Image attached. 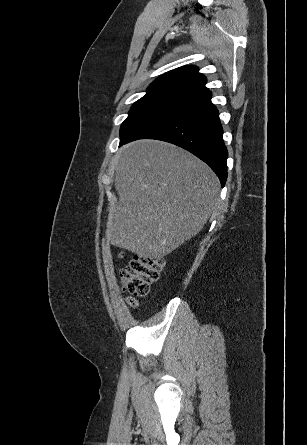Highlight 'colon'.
<instances>
[{
  "instance_id": "obj_1",
  "label": "colon",
  "mask_w": 307,
  "mask_h": 445,
  "mask_svg": "<svg viewBox=\"0 0 307 445\" xmlns=\"http://www.w3.org/2000/svg\"><path fill=\"white\" fill-rule=\"evenodd\" d=\"M164 261L159 258L135 256L120 271L122 286L125 292L133 297H144L149 293L150 286L158 280ZM130 303L135 305V300Z\"/></svg>"
}]
</instances>
